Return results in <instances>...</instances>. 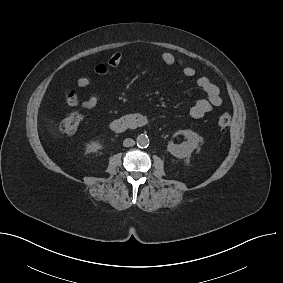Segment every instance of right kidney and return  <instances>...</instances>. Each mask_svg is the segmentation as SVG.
Instances as JSON below:
<instances>
[{"label": "right kidney", "mask_w": 283, "mask_h": 283, "mask_svg": "<svg viewBox=\"0 0 283 283\" xmlns=\"http://www.w3.org/2000/svg\"><path fill=\"white\" fill-rule=\"evenodd\" d=\"M103 146L98 142H92L86 146V153H97Z\"/></svg>", "instance_id": "right-kidney-1"}]
</instances>
